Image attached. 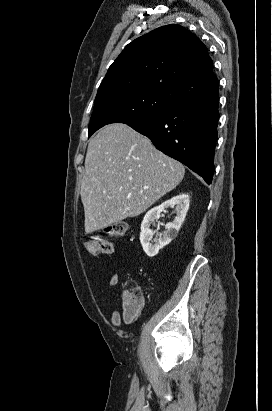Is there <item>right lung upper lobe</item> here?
I'll return each instance as SVG.
<instances>
[{
	"instance_id": "obj_1",
	"label": "right lung upper lobe",
	"mask_w": 272,
	"mask_h": 411,
	"mask_svg": "<svg viewBox=\"0 0 272 411\" xmlns=\"http://www.w3.org/2000/svg\"><path fill=\"white\" fill-rule=\"evenodd\" d=\"M218 87L206 46L184 27L171 24L129 43L109 67L97 94L148 88L181 102Z\"/></svg>"
}]
</instances>
